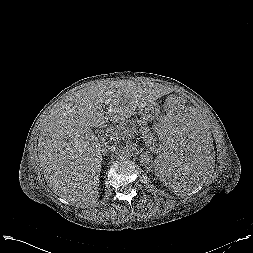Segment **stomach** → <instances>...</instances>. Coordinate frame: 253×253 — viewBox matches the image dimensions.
Wrapping results in <instances>:
<instances>
[{"mask_svg":"<svg viewBox=\"0 0 253 253\" xmlns=\"http://www.w3.org/2000/svg\"><path fill=\"white\" fill-rule=\"evenodd\" d=\"M140 116L143 121H149L154 119L155 115L153 114V107L152 105H148L145 108L140 110Z\"/></svg>","mask_w":253,"mask_h":253,"instance_id":"stomach-1","label":"stomach"}]
</instances>
